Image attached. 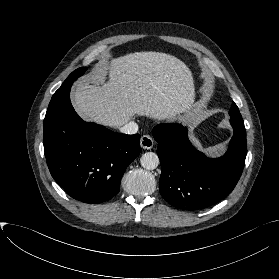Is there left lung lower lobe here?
<instances>
[{
    "label": "left lung lower lobe",
    "instance_id": "obj_1",
    "mask_svg": "<svg viewBox=\"0 0 279 279\" xmlns=\"http://www.w3.org/2000/svg\"><path fill=\"white\" fill-rule=\"evenodd\" d=\"M234 135L220 158H207L188 140L181 124H159L152 133L158 142L162 197L182 210H202L224 199L237 184L247 154L244 126L231 123Z\"/></svg>",
    "mask_w": 279,
    "mask_h": 279
}]
</instances>
